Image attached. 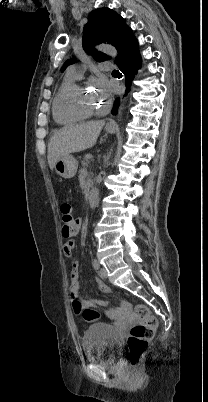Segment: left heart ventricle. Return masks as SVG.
<instances>
[{"mask_svg":"<svg viewBox=\"0 0 208 402\" xmlns=\"http://www.w3.org/2000/svg\"><path fill=\"white\" fill-rule=\"evenodd\" d=\"M100 100H101V97L98 95L97 96H88V95L83 94V96L81 98L82 104L85 107H91L93 105H96V103L99 102Z\"/></svg>","mask_w":208,"mask_h":402,"instance_id":"obj_1","label":"left heart ventricle"}]
</instances>
